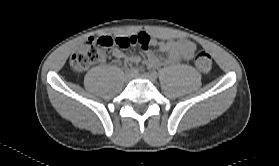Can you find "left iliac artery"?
I'll return each instance as SVG.
<instances>
[{
	"label": "left iliac artery",
	"mask_w": 279,
	"mask_h": 166,
	"mask_svg": "<svg viewBox=\"0 0 279 166\" xmlns=\"http://www.w3.org/2000/svg\"><path fill=\"white\" fill-rule=\"evenodd\" d=\"M151 74L157 78V72L156 71H152Z\"/></svg>",
	"instance_id": "obj_1"
}]
</instances>
